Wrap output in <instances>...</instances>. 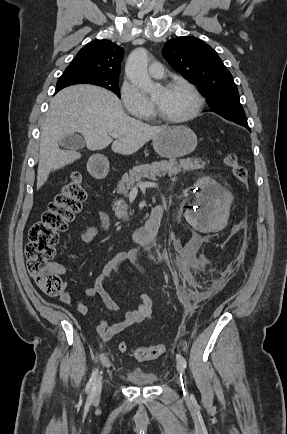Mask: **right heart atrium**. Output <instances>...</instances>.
<instances>
[{"label":"right heart atrium","instance_id":"obj_1","mask_svg":"<svg viewBox=\"0 0 287 434\" xmlns=\"http://www.w3.org/2000/svg\"><path fill=\"white\" fill-rule=\"evenodd\" d=\"M122 103L127 112L134 116H148L153 107L151 102L129 80H125L120 89Z\"/></svg>","mask_w":287,"mask_h":434}]
</instances>
